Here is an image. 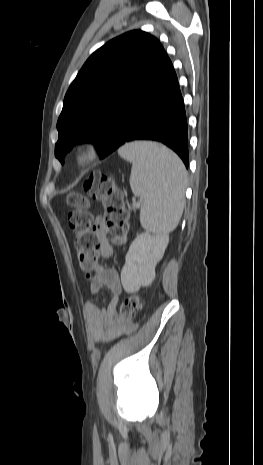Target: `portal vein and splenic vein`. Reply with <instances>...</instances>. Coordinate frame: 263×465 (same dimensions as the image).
Wrapping results in <instances>:
<instances>
[{
    "mask_svg": "<svg viewBox=\"0 0 263 465\" xmlns=\"http://www.w3.org/2000/svg\"><path fill=\"white\" fill-rule=\"evenodd\" d=\"M133 206H134V207H139V206H140V203H138V202H133Z\"/></svg>",
    "mask_w": 263,
    "mask_h": 465,
    "instance_id": "portal-vein-and-splenic-vein-1",
    "label": "portal vein and splenic vein"
}]
</instances>
